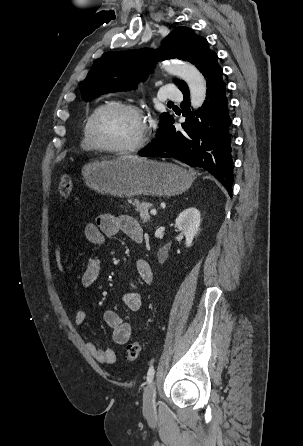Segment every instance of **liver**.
<instances>
[{"mask_svg":"<svg viewBox=\"0 0 303 446\" xmlns=\"http://www.w3.org/2000/svg\"><path fill=\"white\" fill-rule=\"evenodd\" d=\"M123 158L138 159V157H136V156H131V155H129V156H124Z\"/></svg>","mask_w":303,"mask_h":446,"instance_id":"liver-1","label":"liver"}]
</instances>
